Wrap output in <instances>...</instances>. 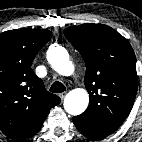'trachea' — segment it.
Segmentation results:
<instances>
[{
  "mask_svg": "<svg viewBox=\"0 0 142 142\" xmlns=\"http://www.w3.org/2000/svg\"><path fill=\"white\" fill-rule=\"evenodd\" d=\"M65 90H66L65 86L59 81L54 82L50 87V91L53 93H61L64 92Z\"/></svg>",
  "mask_w": 142,
  "mask_h": 142,
  "instance_id": "trachea-1",
  "label": "trachea"
}]
</instances>
